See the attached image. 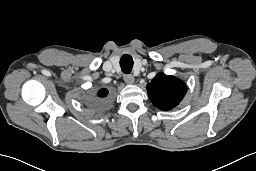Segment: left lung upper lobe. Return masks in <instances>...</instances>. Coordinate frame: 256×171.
Here are the masks:
<instances>
[{
  "instance_id": "5c2ea615",
  "label": "left lung upper lobe",
  "mask_w": 256,
  "mask_h": 171,
  "mask_svg": "<svg viewBox=\"0 0 256 171\" xmlns=\"http://www.w3.org/2000/svg\"><path fill=\"white\" fill-rule=\"evenodd\" d=\"M146 88L153 105L161 110L177 106L187 92L182 80L163 73H158Z\"/></svg>"
}]
</instances>
